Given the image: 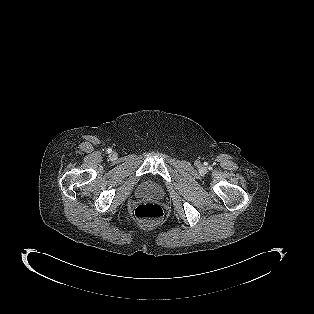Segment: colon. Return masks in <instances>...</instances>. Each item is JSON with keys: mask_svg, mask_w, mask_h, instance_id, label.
<instances>
[{"mask_svg": "<svg viewBox=\"0 0 314 314\" xmlns=\"http://www.w3.org/2000/svg\"><path fill=\"white\" fill-rule=\"evenodd\" d=\"M134 215L143 222L154 223L163 218L164 211L163 208L155 202H142L136 206Z\"/></svg>", "mask_w": 314, "mask_h": 314, "instance_id": "5ec220e1", "label": "colon"}]
</instances>
